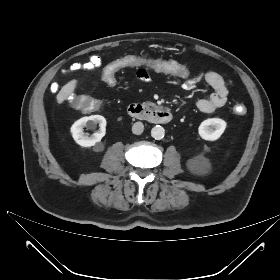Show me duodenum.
<instances>
[{
	"label": "duodenum",
	"mask_w": 280,
	"mask_h": 280,
	"mask_svg": "<svg viewBox=\"0 0 280 280\" xmlns=\"http://www.w3.org/2000/svg\"><path fill=\"white\" fill-rule=\"evenodd\" d=\"M127 111L132 118L146 120L154 124H167L173 119V114L168 109H150L140 103L130 104Z\"/></svg>",
	"instance_id": "duodenum-1"
}]
</instances>
